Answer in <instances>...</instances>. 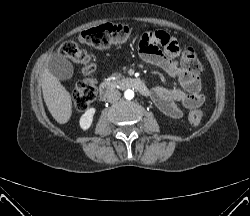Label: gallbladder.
I'll use <instances>...</instances> for the list:
<instances>
[{
  "mask_svg": "<svg viewBox=\"0 0 250 216\" xmlns=\"http://www.w3.org/2000/svg\"><path fill=\"white\" fill-rule=\"evenodd\" d=\"M47 67L51 74L61 80L70 79L73 76L74 69L72 63L61 54L56 53L52 55Z\"/></svg>",
  "mask_w": 250,
  "mask_h": 216,
  "instance_id": "1",
  "label": "gallbladder"
}]
</instances>
